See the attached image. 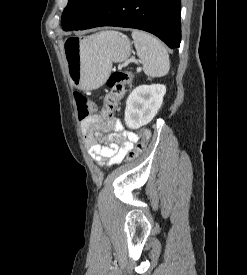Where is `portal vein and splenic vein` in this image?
<instances>
[{"label":"portal vein and splenic vein","mask_w":247,"mask_h":275,"mask_svg":"<svg viewBox=\"0 0 247 275\" xmlns=\"http://www.w3.org/2000/svg\"><path fill=\"white\" fill-rule=\"evenodd\" d=\"M137 71H141V68L139 67V68H137Z\"/></svg>","instance_id":"18ae733b"}]
</instances>
